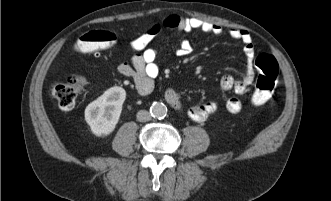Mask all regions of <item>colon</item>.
<instances>
[{"instance_id": "5ec220e1", "label": "colon", "mask_w": 331, "mask_h": 201, "mask_svg": "<svg viewBox=\"0 0 331 201\" xmlns=\"http://www.w3.org/2000/svg\"><path fill=\"white\" fill-rule=\"evenodd\" d=\"M116 42L117 36L111 31L91 30L79 37L75 49L85 54L96 53L113 47ZM255 65L258 69V77L252 95V103L260 106L268 102L274 93L278 79V64L272 55L262 53L256 57ZM84 85L85 78L83 76L71 75L51 86V96L62 110H71L74 108Z\"/></svg>"}]
</instances>
